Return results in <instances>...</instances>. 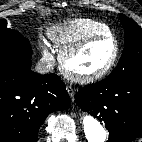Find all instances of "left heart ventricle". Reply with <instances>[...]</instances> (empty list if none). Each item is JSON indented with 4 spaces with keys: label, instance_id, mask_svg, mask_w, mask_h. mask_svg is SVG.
<instances>
[{
    "label": "left heart ventricle",
    "instance_id": "left-heart-ventricle-1",
    "mask_svg": "<svg viewBox=\"0 0 142 142\" xmlns=\"http://www.w3.org/2000/svg\"><path fill=\"white\" fill-rule=\"evenodd\" d=\"M114 43L100 40L89 45L69 61V67L79 73H92L104 67L112 58Z\"/></svg>",
    "mask_w": 142,
    "mask_h": 142
}]
</instances>
